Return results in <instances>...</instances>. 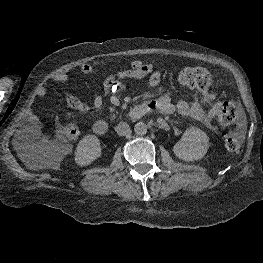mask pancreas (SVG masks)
I'll use <instances>...</instances> for the list:
<instances>
[{"label":"pancreas","instance_id":"cf45deb5","mask_svg":"<svg viewBox=\"0 0 263 263\" xmlns=\"http://www.w3.org/2000/svg\"><path fill=\"white\" fill-rule=\"evenodd\" d=\"M110 111H114V108H110Z\"/></svg>","mask_w":263,"mask_h":263}]
</instances>
